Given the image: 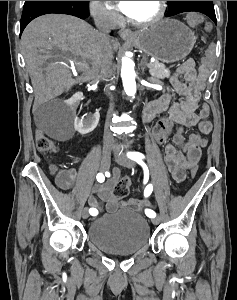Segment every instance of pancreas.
Returning a JSON list of instances; mask_svg holds the SVG:
<instances>
[{
  "label": "pancreas",
  "instance_id": "pancreas-1",
  "mask_svg": "<svg viewBox=\"0 0 237 300\" xmlns=\"http://www.w3.org/2000/svg\"><path fill=\"white\" fill-rule=\"evenodd\" d=\"M151 64L155 65V68L153 69L148 68L149 73L150 75H152V77H159V79H164V77H170V73H168V69H166L165 65H162V63H159V61H155V63ZM146 67H148L147 63Z\"/></svg>",
  "mask_w": 237,
  "mask_h": 300
}]
</instances>
